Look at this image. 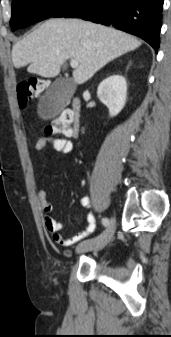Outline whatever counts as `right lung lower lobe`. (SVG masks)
I'll list each match as a JSON object with an SVG mask.
<instances>
[{"label":"right lung lower lobe","instance_id":"right-lung-lower-lobe-1","mask_svg":"<svg viewBox=\"0 0 171 337\" xmlns=\"http://www.w3.org/2000/svg\"><path fill=\"white\" fill-rule=\"evenodd\" d=\"M163 0H74L52 17H78L113 26L148 42L160 44Z\"/></svg>","mask_w":171,"mask_h":337}]
</instances>
